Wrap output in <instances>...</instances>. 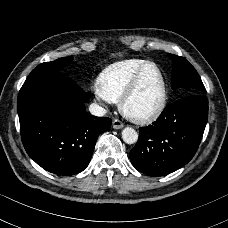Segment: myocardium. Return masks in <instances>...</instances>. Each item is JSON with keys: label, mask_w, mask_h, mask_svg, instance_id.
<instances>
[{"label": "myocardium", "mask_w": 228, "mask_h": 228, "mask_svg": "<svg viewBox=\"0 0 228 228\" xmlns=\"http://www.w3.org/2000/svg\"><path fill=\"white\" fill-rule=\"evenodd\" d=\"M150 68H155L159 72L160 77H161V81H162L161 104L152 113H149L146 115L134 114L129 110V102L136 95L145 73ZM167 104H168V87H167V81H166L165 74L159 65H157L156 63H150V64L146 65L145 67H143L142 69H140L137 72V74L135 75V77L133 78L127 91L124 93V95L122 96V98L120 100V109H121L123 115L126 118L130 119L131 121H133L135 123H139V124H150V123L158 120L163 115V113L166 110Z\"/></svg>", "instance_id": "myocardium-1"}]
</instances>
